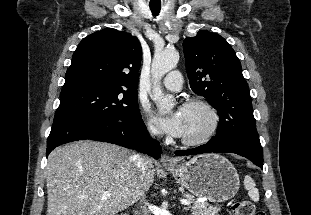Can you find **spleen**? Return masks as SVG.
<instances>
[{
	"label": "spleen",
	"instance_id": "spleen-1",
	"mask_svg": "<svg viewBox=\"0 0 311 215\" xmlns=\"http://www.w3.org/2000/svg\"><path fill=\"white\" fill-rule=\"evenodd\" d=\"M256 184L254 180L250 176H245L244 178V187L246 190H248L249 197L254 201H259V191L255 187Z\"/></svg>",
	"mask_w": 311,
	"mask_h": 215
}]
</instances>
